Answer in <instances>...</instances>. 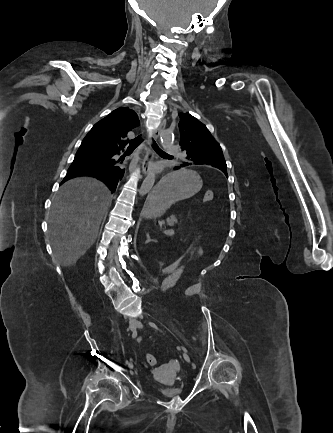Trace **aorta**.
<instances>
[{
  "label": "aorta",
  "mask_w": 333,
  "mask_h": 433,
  "mask_svg": "<svg viewBox=\"0 0 333 433\" xmlns=\"http://www.w3.org/2000/svg\"><path fill=\"white\" fill-rule=\"evenodd\" d=\"M159 138L161 141V145L166 148L171 143H173V135L172 132L168 130H162L159 132ZM155 182V173H149L145 180L143 181L140 189H139V195L144 196L147 193L150 192Z\"/></svg>",
  "instance_id": "aorta-1"
}]
</instances>
